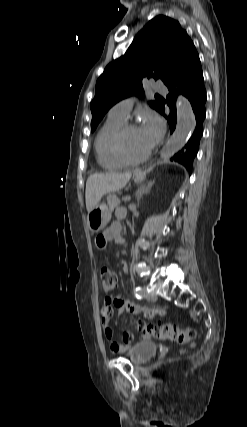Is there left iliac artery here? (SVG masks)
I'll return each mask as SVG.
<instances>
[{"label": "left iliac artery", "instance_id": "obj_1", "mask_svg": "<svg viewBox=\"0 0 247 427\" xmlns=\"http://www.w3.org/2000/svg\"><path fill=\"white\" fill-rule=\"evenodd\" d=\"M145 294H146L145 290L142 289L141 287H136L135 288V296H136V298L142 299V298H144Z\"/></svg>", "mask_w": 247, "mask_h": 427}]
</instances>
